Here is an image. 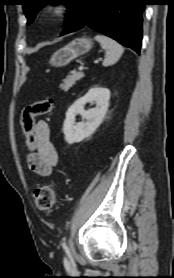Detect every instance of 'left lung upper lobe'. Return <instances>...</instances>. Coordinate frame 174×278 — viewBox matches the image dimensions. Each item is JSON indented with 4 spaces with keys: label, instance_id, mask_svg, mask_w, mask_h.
<instances>
[{
    "label": "left lung upper lobe",
    "instance_id": "obj_1",
    "mask_svg": "<svg viewBox=\"0 0 174 278\" xmlns=\"http://www.w3.org/2000/svg\"><path fill=\"white\" fill-rule=\"evenodd\" d=\"M82 1L83 0H65V2H67L65 5H68V8H71V10L66 14L67 23L65 25L73 20L78 9L80 8ZM45 2H47V0H25L23 4V10L28 19L27 24H31L37 12L47 5Z\"/></svg>",
    "mask_w": 174,
    "mask_h": 278
}]
</instances>
